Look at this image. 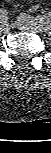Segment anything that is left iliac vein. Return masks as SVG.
I'll return each instance as SVG.
<instances>
[{
    "mask_svg": "<svg viewBox=\"0 0 51 153\" xmlns=\"http://www.w3.org/2000/svg\"><path fill=\"white\" fill-rule=\"evenodd\" d=\"M16 26L24 30H34L37 32H44L46 26L40 22H32L30 19L27 20L22 14L18 17L16 21Z\"/></svg>",
    "mask_w": 51,
    "mask_h": 153,
    "instance_id": "obj_1",
    "label": "left iliac vein"
}]
</instances>
